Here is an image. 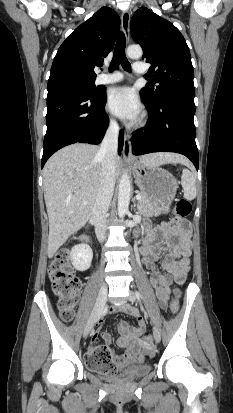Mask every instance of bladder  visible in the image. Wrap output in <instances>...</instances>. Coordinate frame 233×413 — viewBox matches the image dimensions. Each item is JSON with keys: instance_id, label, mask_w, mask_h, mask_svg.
I'll list each match as a JSON object with an SVG mask.
<instances>
[{"instance_id": "bladder-1", "label": "bladder", "mask_w": 233, "mask_h": 413, "mask_svg": "<svg viewBox=\"0 0 233 413\" xmlns=\"http://www.w3.org/2000/svg\"><path fill=\"white\" fill-rule=\"evenodd\" d=\"M150 370V367L144 363H138L136 365L130 366L120 372L105 373L100 372V374L111 381H128L132 379L140 378L146 375Z\"/></svg>"}]
</instances>
